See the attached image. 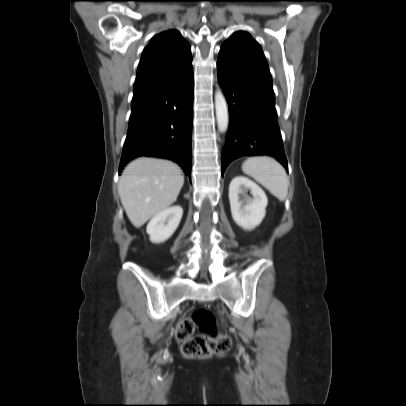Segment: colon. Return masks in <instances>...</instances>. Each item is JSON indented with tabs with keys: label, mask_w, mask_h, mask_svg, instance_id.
I'll return each instance as SVG.
<instances>
[{
	"label": "colon",
	"mask_w": 406,
	"mask_h": 406,
	"mask_svg": "<svg viewBox=\"0 0 406 406\" xmlns=\"http://www.w3.org/2000/svg\"><path fill=\"white\" fill-rule=\"evenodd\" d=\"M195 328L201 333L194 335ZM175 336L182 342L183 355L188 359L207 358L227 352L231 347L228 335L219 334L217 320L212 312L203 309L182 319L176 326Z\"/></svg>",
	"instance_id": "5ec220e1"
}]
</instances>
